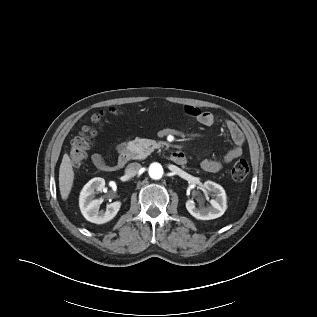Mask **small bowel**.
Listing matches in <instances>:
<instances>
[{"mask_svg":"<svg viewBox=\"0 0 317 317\" xmlns=\"http://www.w3.org/2000/svg\"><path fill=\"white\" fill-rule=\"evenodd\" d=\"M184 112L194 117L197 122L204 126H212L216 122V116L209 112V111H203L197 107L193 106H185ZM225 128L234 144L233 148H231L229 151L226 152V154L223 156L221 160L218 159H204L201 161L200 166L202 170L209 173H216L219 172L224 164H229L233 160L240 157L243 153V145H244V134L242 130L239 128V126L231 121V120H224ZM124 146V144L118 145L117 149H121ZM93 165L101 171H106L109 163L106 161V159L98 154H93L92 158Z\"/></svg>","mask_w":317,"mask_h":317,"instance_id":"obj_1","label":"small bowel"}]
</instances>
